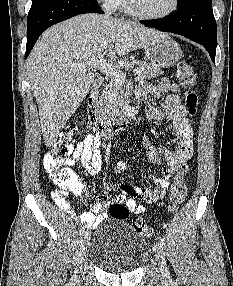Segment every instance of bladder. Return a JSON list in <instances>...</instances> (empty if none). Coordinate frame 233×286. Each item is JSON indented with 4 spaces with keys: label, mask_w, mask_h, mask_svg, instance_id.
I'll use <instances>...</instances> for the list:
<instances>
[{
    "label": "bladder",
    "mask_w": 233,
    "mask_h": 286,
    "mask_svg": "<svg viewBox=\"0 0 233 286\" xmlns=\"http://www.w3.org/2000/svg\"><path fill=\"white\" fill-rule=\"evenodd\" d=\"M87 247L92 263L109 273L133 272L150 256L147 240L121 221H110L99 227Z\"/></svg>",
    "instance_id": "1"
}]
</instances>
